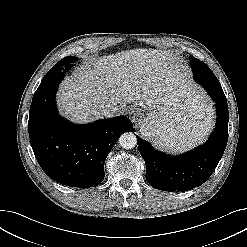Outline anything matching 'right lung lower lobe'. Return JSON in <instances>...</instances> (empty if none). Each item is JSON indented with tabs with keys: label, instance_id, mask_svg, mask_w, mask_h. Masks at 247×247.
<instances>
[{
	"label": "right lung lower lobe",
	"instance_id": "obj_1",
	"mask_svg": "<svg viewBox=\"0 0 247 247\" xmlns=\"http://www.w3.org/2000/svg\"><path fill=\"white\" fill-rule=\"evenodd\" d=\"M68 67L51 69L34 93L28 131L43 171L71 187H94L104 179V163L121 134L134 131L126 116L74 125L60 117L55 104L59 83Z\"/></svg>",
	"mask_w": 247,
	"mask_h": 247
}]
</instances>
